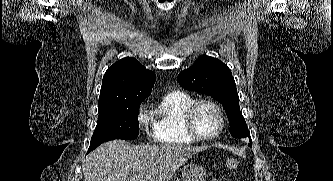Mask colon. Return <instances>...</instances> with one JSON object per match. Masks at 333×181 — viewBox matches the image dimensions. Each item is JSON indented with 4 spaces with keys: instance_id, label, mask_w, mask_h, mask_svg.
Returning <instances> with one entry per match:
<instances>
[{
    "instance_id": "5ec220e1",
    "label": "colon",
    "mask_w": 333,
    "mask_h": 181,
    "mask_svg": "<svg viewBox=\"0 0 333 181\" xmlns=\"http://www.w3.org/2000/svg\"><path fill=\"white\" fill-rule=\"evenodd\" d=\"M239 160L235 157H230L227 159V161L225 162V168L228 171H235L239 168Z\"/></svg>"
}]
</instances>
